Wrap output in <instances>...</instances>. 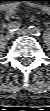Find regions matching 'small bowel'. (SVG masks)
Returning <instances> with one entry per match:
<instances>
[{
    "label": "small bowel",
    "instance_id": "1",
    "mask_svg": "<svg viewBox=\"0 0 50 111\" xmlns=\"http://www.w3.org/2000/svg\"><path fill=\"white\" fill-rule=\"evenodd\" d=\"M45 13H47V12H45ZM14 14H15V9L14 8H8V9H6L5 18L10 19L14 16Z\"/></svg>",
    "mask_w": 50,
    "mask_h": 111
}]
</instances>
